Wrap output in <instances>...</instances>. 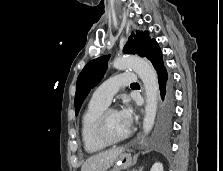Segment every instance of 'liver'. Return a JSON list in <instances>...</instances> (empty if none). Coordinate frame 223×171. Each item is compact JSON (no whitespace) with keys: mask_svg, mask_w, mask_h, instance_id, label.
<instances>
[{"mask_svg":"<svg viewBox=\"0 0 223 171\" xmlns=\"http://www.w3.org/2000/svg\"><path fill=\"white\" fill-rule=\"evenodd\" d=\"M123 151L120 147L95 154L84 162L81 171H106Z\"/></svg>","mask_w":223,"mask_h":171,"instance_id":"1","label":"liver"}]
</instances>
